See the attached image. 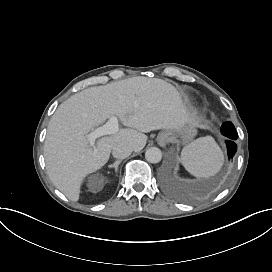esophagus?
Instances as JSON below:
<instances>
[{
	"label": "esophagus",
	"mask_w": 272,
	"mask_h": 272,
	"mask_svg": "<svg viewBox=\"0 0 272 272\" xmlns=\"http://www.w3.org/2000/svg\"><path fill=\"white\" fill-rule=\"evenodd\" d=\"M166 143H167L166 138H164V139L162 140V145H166Z\"/></svg>",
	"instance_id": "esophagus-1"
}]
</instances>
